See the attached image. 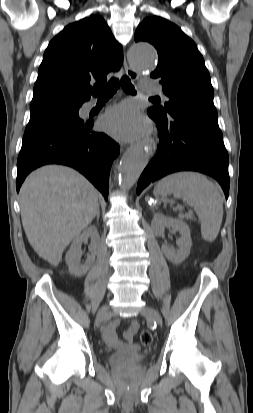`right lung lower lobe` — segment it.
Segmentation results:
<instances>
[{"mask_svg":"<svg viewBox=\"0 0 253 413\" xmlns=\"http://www.w3.org/2000/svg\"><path fill=\"white\" fill-rule=\"evenodd\" d=\"M93 122L25 141L17 161L16 188L26 176L45 164H63L75 168L88 178L107 200L109 172L119 154V145L104 133L92 131Z\"/></svg>","mask_w":253,"mask_h":413,"instance_id":"98d812e1","label":"right lung lower lobe"}]
</instances>
